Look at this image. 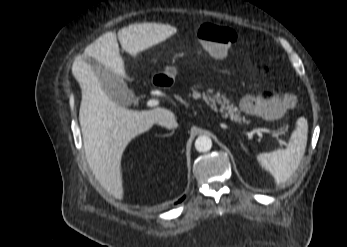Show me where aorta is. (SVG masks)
I'll return each instance as SVG.
<instances>
[{"label":"aorta","mask_w":347,"mask_h":247,"mask_svg":"<svg viewBox=\"0 0 347 247\" xmlns=\"http://www.w3.org/2000/svg\"><path fill=\"white\" fill-rule=\"evenodd\" d=\"M212 147V140L209 136H199L195 141V148L198 152H208Z\"/></svg>","instance_id":"aorta-1"}]
</instances>
